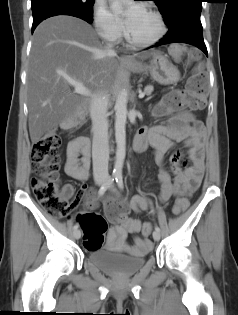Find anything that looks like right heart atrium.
Masks as SVG:
<instances>
[{
	"instance_id": "d8ad5b80",
	"label": "right heart atrium",
	"mask_w": 238,
	"mask_h": 315,
	"mask_svg": "<svg viewBox=\"0 0 238 315\" xmlns=\"http://www.w3.org/2000/svg\"><path fill=\"white\" fill-rule=\"evenodd\" d=\"M94 25L98 34L107 41H116L123 32L120 21L105 7L98 2L94 9Z\"/></svg>"
}]
</instances>
